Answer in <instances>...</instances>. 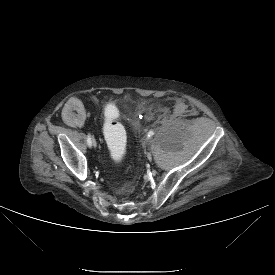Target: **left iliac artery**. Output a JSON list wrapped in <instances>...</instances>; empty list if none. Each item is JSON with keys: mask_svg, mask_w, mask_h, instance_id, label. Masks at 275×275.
I'll list each match as a JSON object with an SVG mask.
<instances>
[{"mask_svg": "<svg viewBox=\"0 0 275 275\" xmlns=\"http://www.w3.org/2000/svg\"><path fill=\"white\" fill-rule=\"evenodd\" d=\"M153 135H154V131L151 130V131L148 132V137H151Z\"/></svg>", "mask_w": 275, "mask_h": 275, "instance_id": "1", "label": "left iliac artery"}]
</instances>
